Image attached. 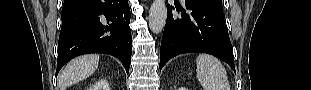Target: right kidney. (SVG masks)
I'll use <instances>...</instances> for the list:
<instances>
[{
    "label": "right kidney",
    "instance_id": "obj_1",
    "mask_svg": "<svg viewBox=\"0 0 311 90\" xmlns=\"http://www.w3.org/2000/svg\"><path fill=\"white\" fill-rule=\"evenodd\" d=\"M88 90H110V87L107 80H100L99 82L88 88Z\"/></svg>",
    "mask_w": 311,
    "mask_h": 90
}]
</instances>
